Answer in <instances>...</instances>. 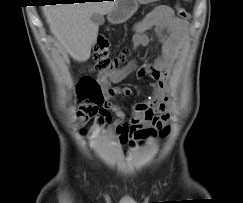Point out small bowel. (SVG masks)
Masks as SVG:
<instances>
[{"mask_svg": "<svg viewBox=\"0 0 243 203\" xmlns=\"http://www.w3.org/2000/svg\"><path fill=\"white\" fill-rule=\"evenodd\" d=\"M151 28H155L161 43L159 54L152 64L130 62L122 69L100 72L97 77L105 96L97 121L108 126L121 145L141 144L156 136H165L170 129L173 70L189 30V22L176 17L168 7H156L135 25L132 36L134 48L145 47L149 43L146 32ZM132 72L153 81L154 95L135 104L129 120L124 121L112 99L117 95L130 97L133 91L129 87L114 88L111 85L121 82ZM112 112L118 115V120L112 121Z\"/></svg>", "mask_w": 243, "mask_h": 203, "instance_id": "obj_1", "label": "small bowel"}]
</instances>
